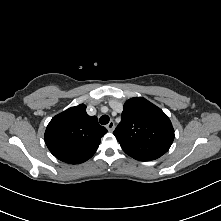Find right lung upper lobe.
<instances>
[{"label":"right lung upper lobe","instance_id":"right-lung-upper-lobe-1","mask_svg":"<svg viewBox=\"0 0 221 221\" xmlns=\"http://www.w3.org/2000/svg\"><path fill=\"white\" fill-rule=\"evenodd\" d=\"M96 116L86 113V106L71 107L52 118L45 131V143L59 160L79 164L90 159L106 134Z\"/></svg>","mask_w":221,"mask_h":221}]
</instances>
